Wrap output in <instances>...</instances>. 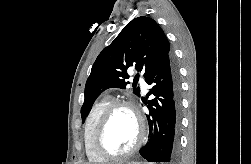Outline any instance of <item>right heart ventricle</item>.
I'll return each instance as SVG.
<instances>
[{"label": "right heart ventricle", "mask_w": 251, "mask_h": 164, "mask_svg": "<svg viewBox=\"0 0 251 164\" xmlns=\"http://www.w3.org/2000/svg\"><path fill=\"white\" fill-rule=\"evenodd\" d=\"M109 104H110L109 99H102L96 102L90 109L84 122L83 140H84V146H85V153L88 160L94 164H99L105 161L103 158H101L95 153L93 149L92 141H93V134H94V130L97 125V122Z\"/></svg>", "instance_id": "1"}]
</instances>
